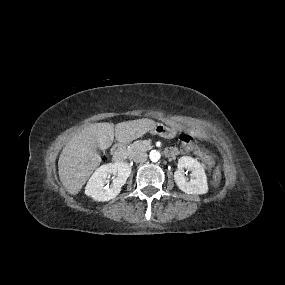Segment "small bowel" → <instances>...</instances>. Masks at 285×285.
<instances>
[{
    "mask_svg": "<svg viewBox=\"0 0 285 285\" xmlns=\"http://www.w3.org/2000/svg\"><path fill=\"white\" fill-rule=\"evenodd\" d=\"M184 144V143H183ZM185 147V146H184ZM186 149V148H185ZM167 150H173L176 155L179 153V150L175 147H170L167 148ZM188 150V149H187ZM192 151L195 153V155L199 158V160L201 161V163L207 168V169H211L213 167L214 164V159L213 157L206 151L199 149V148H194L192 149Z\"/></svg>",
    "mask_w": 285,
    "mask_h": 285,
    "instance_id": "c3829d8e",
    "label": "small bowel"
}]
</instances>
